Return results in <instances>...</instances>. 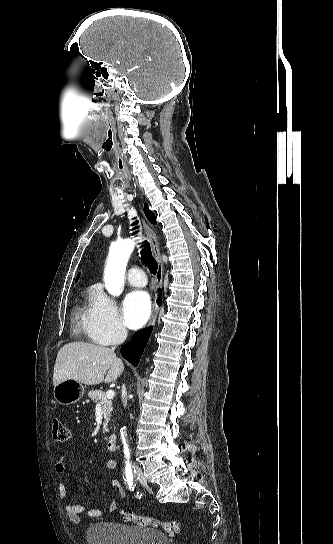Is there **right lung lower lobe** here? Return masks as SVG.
I'll use <instances>...</instances> for the list:
<instances>
[{"mask_svg":"<svg viewBox=\"0 0 333 544\" xmlns=\"http://www.w3.org/2000/svg\"><path fill=\"white\" fill-rule=\"evenodd\" d=\"M160 302L161 296L158 297V305H160ZM152 328V326L145 328L143 331L136 334L129 344L121 347V355L134 366H137L140 361L141 355L152 332Z\"/></svg>","mask_w":333,"mask_h":544,"instance_id":"98d812e1","label":"right lung lower lobe"}]
</instances>
